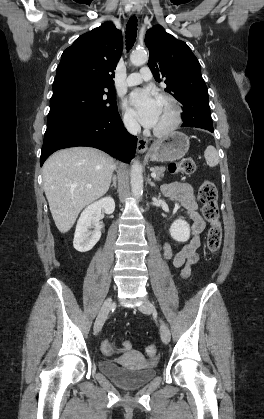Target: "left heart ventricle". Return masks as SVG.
I'll return each instance as SVG.
<instances>
[{
    "label": "left heart ventricle",
    "mask_w": 264,
    "mask_h": 419,
    "mask_svg": "<svg viewBox=\"0 0 264 419\" xmlns=\"http://www.w3.org/2000/svg\"><path fill=\"white\" fill-rule=\"evenodd\" d=\"M170 120H171L170 106L166 102L159 100V114H158L157 123L154 127L162 128L166 126L170 122Z\"/></svg>",
    "instance_id": "obj_1"
}]
</instances>
